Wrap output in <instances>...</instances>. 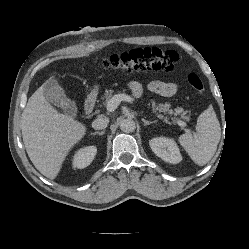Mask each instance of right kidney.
<instances>
[{
  "label": "right kidney",
  "instance_id": "right-kidney-1",
  "mask_svg": "<svg viewBox=\"0 0 249 249\" xmlns=\"http://www.w3.org/2000/svg\"><path fill=\"white\" fill-rule=\"evenodd\" d=\"M97 153L95 146H88L79 149L73 156V168L83 169L90 165Z\"/></svg>",
  "mask_w": 249,
  "mask_h": 249
}]
</instances>
